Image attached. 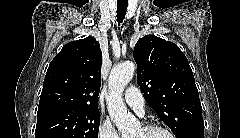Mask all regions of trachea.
Listing matches in <instances>:
<instances>
[{
	"label": "trachea",
	"mask_w": 240,
	"mask_h": 138,
	"mask_svg": "<svg viewBox=\"0 0 240 138\" xmlns=\"http://www.w3.org/2000/svg\"><path fill=\"white\" fill-rule=\"evenodd\" d=\"M127 11V4L124 5H117V22L121 24L125 18Z\"/></svg>",
	"instance_id": "1"
}]
</instances>
